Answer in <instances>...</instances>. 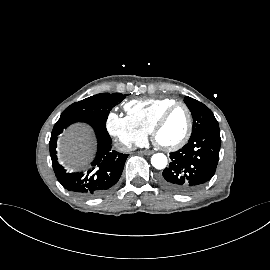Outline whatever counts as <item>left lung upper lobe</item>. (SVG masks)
Segmentation results:
<instances>
[{"label":"left lung upper lobe","instance_id":"5c2ea615","mask_svg":"<svg viewBox=\"0 0 270 270\" xmlns=\"http://www.w3.org/2000/svg\"><path fill=\"white\" fill-rule=\"evenodd\" d=\"M184 102L193 117L191 137L204 130H219L218 122L208 107L191 97H185Z\"/></svg>","mask_w":270,"mask_h":270}]
</instances>
